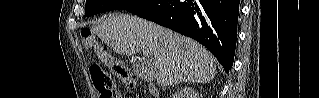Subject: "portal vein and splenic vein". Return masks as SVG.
<instances>
[{
	"instance_id": "obj_1",
	"label": "portal vein and splenic vein",
	"mask_w": 319,
	"mask_h": 98,
	"mask_svg": "<svg viewBox=\"0 0 319 98\" xmlns=\"http://www.w3.org/2000/svg\"><path fill=\"white\" fill-rule=\"evenodd\" d=\"M143 55H144V56H148V55H149V52L146 51V50H143Z\"/></svg>"
}]
</instances>
